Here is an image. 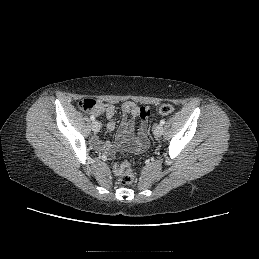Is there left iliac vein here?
Returning <instances> with one entry per match:
<instances>
[{"label":"left iliac vein","mask_w":259,"mask_h":259,"mask_svg":"<svg viewBox=\"0 0 259 259\" xmlns=\"http://www.w3.org/2000/svg\"><path fill=\"white\" fill-rule=\"evenodd\" d=\"M153 133L155 137H160L163 134V127L162 125L158 124L154 127Z\"/></svg>","instance_id":"4c4485c4"}]
</instances>
